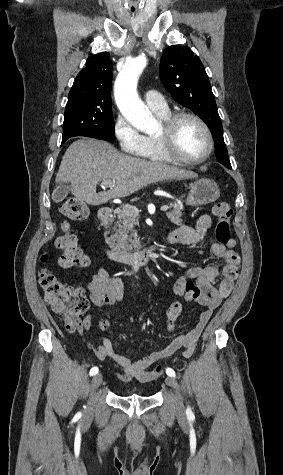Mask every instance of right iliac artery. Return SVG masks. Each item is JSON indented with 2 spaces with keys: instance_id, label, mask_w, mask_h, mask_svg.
Listing matches in <instances>:
<instances>
[{
  "instance_id": "right-iliac-artery-1",
  "label": "right iliac artery",
  "mask_w": 283,
  "mask_h": 475,
  "mask_svg": "<svg viewBox=\"0 0 283 475\" xmlns=\"http://www.w3.org/2000/svg\"><path fill=\"white\" fill-rule=\"evenodd\" d=\"M98 373V367H93L90 370V376L96 375ZM76 416L81 417V413H78Z\"/></svg>"
}]
</instances>
